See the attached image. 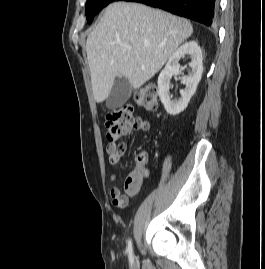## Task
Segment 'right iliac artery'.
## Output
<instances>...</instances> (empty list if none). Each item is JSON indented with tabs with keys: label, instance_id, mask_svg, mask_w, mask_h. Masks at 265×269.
Masks as SVG:
<instances>
[{
	"label": "right iliac artery",
	"instance_id": "1",
	"mask_svg": "<svg viewBox=\"0 0 265 269\" xmlns=\"http://www.w3.org/2000/svg\"><path fill=\"white\" fill-rule=\"evenodd\" d=\"M127 253H128V257H129L130 262H133L134 261V256H133V249H132V241H131V239L128 240Z\"/></svg>",
	"mask_w": 265,
	"mask_h": 269
}]
</instances>
